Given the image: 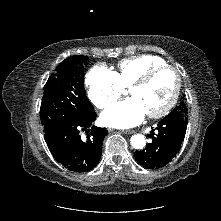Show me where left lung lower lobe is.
<instances>
[{"mask_svg": "<svg viewBox=\"0 0 221 221\" xmlns=\"http://www.w3.org/2000/svg\"><path fill=\"white\" fill-rule=\"evenodd\" d=\"M187 114L169 113L148 137L152 142L135 152L136 161L147 169H157L168 164L179 152L187 129Z\"/></svg>", "mask_w": 221, "mask_h": 221, "instance_id": "0a47b994", "label": "left lung lower lobe"}]
</instances>
